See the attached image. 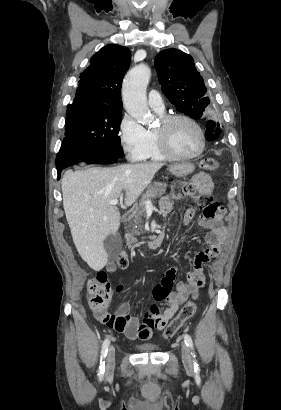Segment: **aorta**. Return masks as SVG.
I'll return each instance as SVG.
<instances>
[{
	"label": "aorta",
	"mask_w": 281,
	"mask_h": 410,
	"mask_svg": "<svg viewBox=\"0 0 281 410\" xmlns=\"http://www.w3.org/2000/svg\"><path fill=\"white\" fill-rule=\"evenodd\" d=\"M150 77V68L140 64L127 73L122 88L123 104L126 111L143 125H149L153 120L146 97V88Z\"/></svg>",
	"instance_id": "obj_1"
}]
</instances>
